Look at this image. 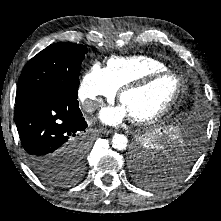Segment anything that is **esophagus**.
<instances>
[{"label":"esophagus","instance_id":"34e87169","mask_svg":"<svg viewBox=\"0 0 221 221\" xmlns=\"http://www.w3.org/2000/svg\"><path fill=\"white\" fill-rule=\"evenodd\" d=\"M100 132H102L103 134H110L112 133V130L102 127L100 128Z\"/></svg>","mask_w":221,"mask_h":221}]
</instances>
